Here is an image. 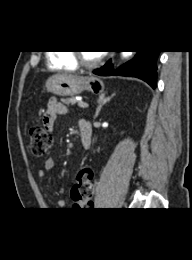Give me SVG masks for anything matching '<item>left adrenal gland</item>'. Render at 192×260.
Masks as SVG:
<instances>
[{
    "mask_svg": "<svg viewBox=\"0 0 192 260\" xmlns=\"http://www.w3.org/2000/svg\"><path fill=\"white\" fill-rule=\"evenodd\" d=\"M115 93H113L110 97H105V93L101 94L99 96V99H98V107L96 109V113H95V116L94 118L96 119L103 107V105H105L107 102H109L113 97H114Z\"/></svg>",
    "mask_w": 192,
    "mask_h": 260,
    "instance_id": "a2214340",
    "label": "left adrenal gland"
}]
</instances>
